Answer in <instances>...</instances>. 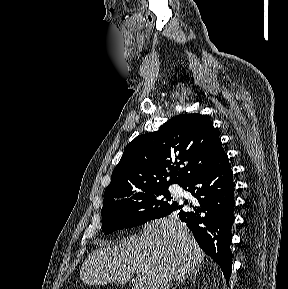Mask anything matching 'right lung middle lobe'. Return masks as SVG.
<instances>
[{
    "mask_svg": "<svg viewBox=\"0 0 288 289\" xmlns=\"http://www.w3.org/2000/svg\"><path fill=\"white\" fill-rule=\"evenodd\" d=\"M168 187H153L104 198L102 231L105 235L164 217L177 202H171Z\"/></svg>",
    "mask_w": 288,
    "mask_h": 289,
    "instance_id": "right-lung-middle-lobe-1",
    "label": "right lung middle lobe"
}]
</instances>
